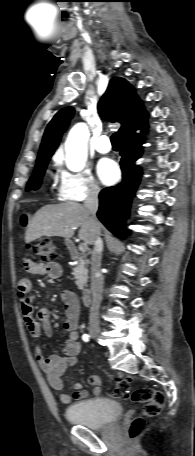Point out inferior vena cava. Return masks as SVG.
<instances>
[{
  "instance_id": "obj_1",
  "label": "inferior vena cava",
  "mask_w": 195,
  "mask_h": 456,
  "mask_svg": "<svg viewBox=\"0 0 195 456\" xmlns=\"http://www.w3.org/2000/svg\"><path fill=\"white\" fill-rule=\"evenodd\" d=\"M100 189L92 187L87 198L84 201V206L90 214V221L95 229L94 250L91 256V294L92 303L89 315L90 326H99V308L102 301L103 293V278L100 273L101 255L103 251V241L100 237L99 222L96 217V212L99 207L98 195Z\"/></svg>"
}]
</instances>
